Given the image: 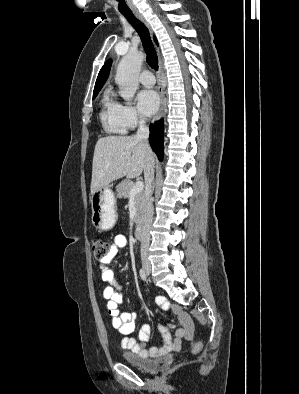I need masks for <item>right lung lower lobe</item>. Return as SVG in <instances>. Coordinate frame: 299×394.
<instances>
[{"instance_id":"obj_1","label":"right lung lower lobe","mask_w":299,"mask_h":394,"mask_svg":"<svg viewBox=\"0 0 299 394\" xmlns=\"http://www.w3.org/2000/svg\"><path fill=\"white\" fill-rule=\"evenodd\" d=\"M149 142L159 160L163 157V120L150 125Z\"/></svg>"}]
</instances>
